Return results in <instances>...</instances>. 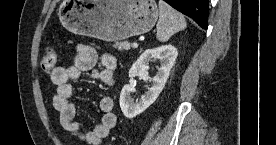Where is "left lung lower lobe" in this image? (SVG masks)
Returning <instances> with one entry per match:
<instances>
[{
    "mask_svg": "<svg viewBox=\"0 0 276 145\" xmlns=\"http://www.w3.org/2000/svg\"><path fill=\"white\" fill-rule=\"evenodd\" d=\"M176 10L191 17L200 27L208 26V0H164Z\"/></svg>",
    "mask_w": 276,
    "mask_h": 145,
    "instance_id": "0a47b994",
    "label": "left lung lower lobe"
}]
</instances>
